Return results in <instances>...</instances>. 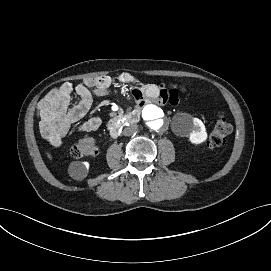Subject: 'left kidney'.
Here are the masks:
<instances>
[{
    "label": "left kidney",
    "instance_id": "1",
    "mask_svg": "<svg viewBox=\"0 0 271 271\" xmlns=\"http://www.w3.org/2000/svg\"><path fill=\"white\" fill-rule=\"evenodd\" d=\"M185 136H189V139L194 144L202 143L207 139V133L205 126L198 118H189L188 127Z\"/></svg>",
    "mask_w": 271,
    "mask_h": 271
}]
</instances>
